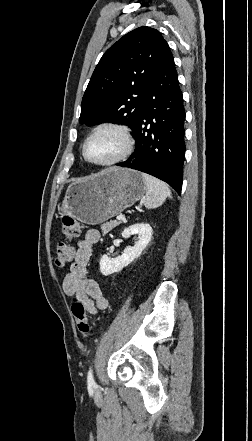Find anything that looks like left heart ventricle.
<instances>
[{"label":"left heart ventricle","instance_id":"left-heart-ventricle-1","mask_svg":"<svg viewBox=\"0 0 252 441\" xmlns=\"http://www.w3.org/2000/svg\"><path fill=\"white\" fill-rule=\"evenodd\" d=\"M123 149L121 136L111 130L101 131L87 144V155L94 161H107L117 156Z\"/></svg>","mask_w":252,"mask_h":441}]
</instances>
